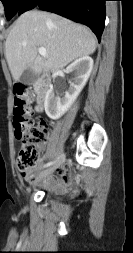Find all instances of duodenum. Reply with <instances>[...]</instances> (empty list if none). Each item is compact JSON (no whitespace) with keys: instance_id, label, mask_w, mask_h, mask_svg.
Instances as JSON below:
<instances>
[{"instance_id":"410a0bca","label":"duodenum","mask_w":133,"mask_h":253,"mask_svg":"<svg viewBox=\"0 0 133 253\" xmlns=\"http://www.w3.org/2000/svg\"><path fill=\"white\" fill-rule=\"evenodd\" d=\"M49 86H50V79L46 75H42L34 83L37 95L36 110L38 112H42L44 109V104L49 91Z\"/></svg>"}]
</instances>
